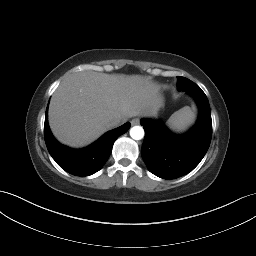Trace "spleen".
Listing matches in <instances>:
<instances>
[{
    "instance_id": "1",
    "label": "spleen",
    "mask_w": 256,
    "mask_h": 256,
    "mask_svg": "<svg viewBox=\"0 0 256 256\" xmlns=\"http://www.w3.org/2000/svg\"><path fill=\"white\" fill-rule=\"evenodd\" d=\"M195 119V108H190L188 106L180 109L176 116L171 120V128L175 131H183L190 124L193 123Z\"/></svg>"
}]
</instances>
